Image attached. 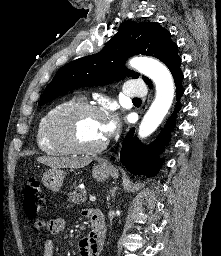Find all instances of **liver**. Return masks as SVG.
Instances as JSON below:
<instances>
[{
    "label": "liver",
    "mask_w": 221,
    "mask_h": 256,
    "mask_svg": "<svg viewBox=\"0 0 221 256\" xmlns=\"http://www.w3.org/2000/svg\"><path fill=\"white\" fill-rule=\"evenodd\" d=\"M39 163L51 167L52 169L60 168H81L88 165L91 161L88 159H81L77 157H51L41 156L37 158Z\"/></svg>",
    "instance_id": "obj_1"
}]
</instances>
